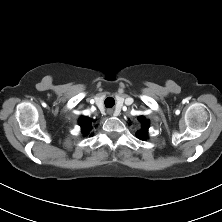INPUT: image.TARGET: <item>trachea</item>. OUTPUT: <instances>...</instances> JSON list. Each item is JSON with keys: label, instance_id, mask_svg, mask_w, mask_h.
Listing matches in <instances>:
<instances>
[{"label": "trachea", "instance_id": "obj_1", "mask_svg": "<svg viewBox=\"0 0 222 222\" xmlns=\"http://www.w3.org/2000/svg\"><path fill=\"white\" fill-rule=\"evenodd\" d=\"M105 106L106 107H113L114 106V104H115V100L112 98V97H107L106 99H105Z\"/></svg>", "mask_w": 222, "mask_h": 222}]
</instances>
